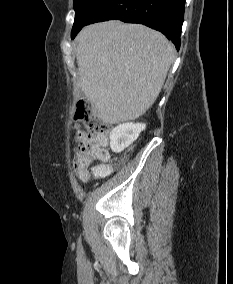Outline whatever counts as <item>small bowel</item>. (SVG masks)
<instances>
[{"mask_svg": "<svg viewBox=\"0 0 233 284\" xmlns=\"http://www.w3.org/2000/svg\"><path fill=\"white\" fill-rule=\"evenodd\" d=\"M124 163L122 159H114L111 164H98L88 167H77L75 166V171L77 178L82 181L86 182L90 174H92L96 178H104L110 175L117 167L121 166Z\"/></svg>", "mask_w": 233, "mask_h": 284, "instance_id": "small-bowel-1", "label": "small bowel"}]
</instances>
